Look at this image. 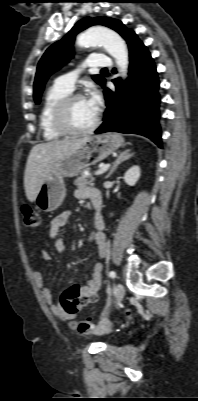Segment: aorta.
I'll return each instance as SVG.
<instances>
[{"mask_svg": "<svg viewBox=\"0 0 198 401\" xmlns=\"http://www.w3.org/2000/svg\"><path fill=\"white\" fill-rule=\"evenodd\" d=\"M80 47L101 45L115 59L123 77L127 75L129 57L125 41L116 32L101 26L91 27L77 38Z\"/></svg>", "mask_w": 198, "mask_h": 401, "instance_id": "obj_1", "label": "aorta"}]
</instances>
